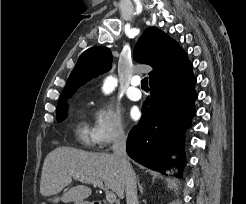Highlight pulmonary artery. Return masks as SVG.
<instances>
[{"instance_id": "e3ab8cb5", "label": "pulmonary artery", "mask_w": 246, "mask_h": 204, "mask_svg": "<svg viewBox=\"0 0 246 204\" xmlns=\"http://www.w3.org/2000/svg\"><path fill=\"white\" fill-rule=\"evenodd\" d=\"M140 84L139 77H133L131 80V85L127 90V97L132 101H138L142 98V93L139 90L138 86Z\"/></svg>"}]
</instances>
